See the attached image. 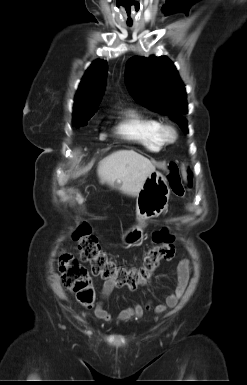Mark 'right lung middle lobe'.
Segmentation results:
<instances>
[{
  "mask_svg": "<svg viewBox=\"0 0 247 385\" xmlns=\"http://www.w3.org/2000/svg\"><path fill=\"white\" fill-rule=\"evenodd\" d=\"M94 113L95 111L74 114L73 122L76 126L86 125L88 120L94 115Z\"/></svg>",
  "mask_w": 247,
  "mask_h": 385,
  "instance_id": "1",
  "label": "right lung middle lobe"
}]
</instances>
